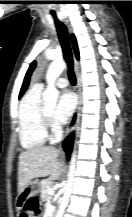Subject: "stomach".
<instances>
[{
  "label": "stomach",
  "instance_id": "stomach-1",
  "mask_svg": "<svg viewBox=\"0 0 132 217\" xmlns=\"http://www.w3.org/2000/svg\"><path fill=\"white\" fill-rule=\"evenodd\" d=\"M40 189H41V184L39 181L37 180L31 181L26 187V190L28 192V197L37 195L40 192Z\"/></svg>",
  "mask_w": 132,
  "mask_h": 217
}]
</instances>
